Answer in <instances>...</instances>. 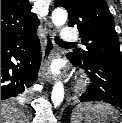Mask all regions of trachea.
<instances>
[{"mask_svg":"<svg viewBox=\"0 0 122 123\" xmlns=\"http://www.w3.org/2000/svg\"><path fill=\"white\" fill-rule=\"evenodd\" d=\"M55 41L58 45H62V46H74L75 44L74 43H67V42H64L63 40H61L60 38L58 37H55Z\"/></svg>","mask_w":122,"mask_h":123,"instance_id":"obj_1","label":"trachea"}]
</instances>
